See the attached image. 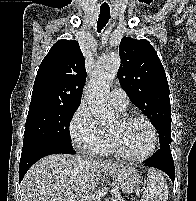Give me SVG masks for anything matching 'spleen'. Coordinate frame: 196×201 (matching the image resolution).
Here are the masks:
<instances>
[{
	"label": "spleen",
	"instance_id": "3e777b00",
	"mask_svg": "<svg viewBox=\"0 0 196 201\" xmlns=\"http://www.w3.org/2000/svg\"><path fill=\"white\" fill-rule=\"evenodd\" d=\"M142 197L143 201L168 200V187L160 171L155 169L148 170V183Z\"/></svg>",
	"mask_w": 196,
	"mask_h": 201
}]
</instances>
